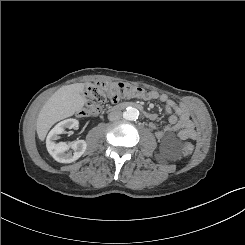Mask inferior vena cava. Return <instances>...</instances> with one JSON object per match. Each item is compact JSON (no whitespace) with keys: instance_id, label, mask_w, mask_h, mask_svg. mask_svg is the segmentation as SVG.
I'll return each instance as SVG.
<instances>
[{"instance_id":"inferior-vena-cava-1","label":"inferior vena cava","mask_w":245,"mask_h":245,"mask_svg":"<svg viewBox=\"0 0 245 245\" xmlns=\"http://www.w3.org/2000/svg\"><path fill=\"white\" fill-rule=\"evenodd\" d=\"M121 117H122V112L118 109H114L108 114V119L110 121L119 120Z\"/></svg>"}]
</instances>
